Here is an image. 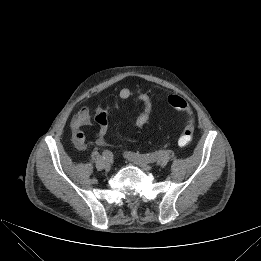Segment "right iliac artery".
Returning <instances> with one entry per match:
<instances>
[{"instance_id": "1", "label": "right iliac artery", "mask_w": 261, "mask_h": 261, "mask_svg": "<svg viewBox=\"0 0 261 261\" xmlns=\"http://www.w3.org/2000/svg\"><path fill=\"white\" fill-rule=\"evenodd\" d=\"M102 158L108 161H112L113 160V154L111 151L109 150H104L102 152Z\"/></svg>"}]
</instances>
